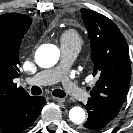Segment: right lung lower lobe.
Segmentation results:
<instances>
[{"label":"right lung lower lobe","mask_w":133,"mask_h":133,"mask_svg":"<svg viewBox=\"0 0 133 133\" xmlns=\"http://www.w3.org/2000/svg\"><path fill=\"white\" fill-rule=\"evenodd\" d=\"M46 104L44 97L28 96L16 103L13 109L0 120V130L5 133H19L29 128Z\"/></svg>","instance_id":"1"}]
</instances>
